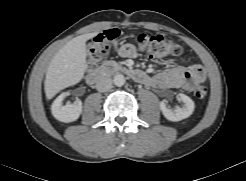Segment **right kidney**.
Returning a JSON list of instances; mask_svg holds the SVG:
<instances>
[{"label": "right kidney", "mask_w": 246, "mask_h": 181, "mask_svg": "<svg viewBox=\"0 0 246 181\" xmlns=\"http://www.w3.org/2000/svg\"><path fill=\"white\" fill-rule=\"evenodd\" d=\"M65 96L66 94L62 93L54 100L51 106L52 115L58 121L65 123L76 121L82 113V102L77 100L74 103H67L63 106L62 102Z\"/></svg>", "instance_id": "obj_1"}]
</instances>
